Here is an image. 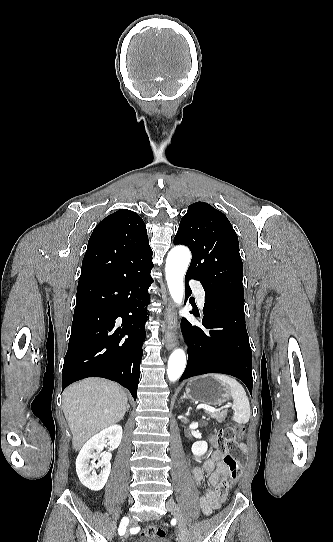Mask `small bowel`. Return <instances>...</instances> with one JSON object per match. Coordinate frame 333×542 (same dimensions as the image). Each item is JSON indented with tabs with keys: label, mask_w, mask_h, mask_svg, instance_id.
I'll return each instance as SVG.
<instances>
[{
	"label": "small bowel",
	"mask_w": 333,
	"mask_h": 542,
	"mask_svg": "<svg viewBox=\"0 0 333 542\" xmlns=\"http://www.w3.org/2000/svg\"><path fill=\"white\" fill-rule=\"evenodd\" d=\"M208 440L212 448L210 456L203 461L202 467L192 469L193 479L199 487L204 480V475L209 476L207 489L199 500L200 508L205 515H210L214 510L219 509L225 501L227 494L220 491V486L229 475V468L225 463L228 453L219 449L215 435H210ZM238 450L245 454L247 447L240 444ZM134 533H136V529L132 528L129 534Z\"/></svg>",
	"instance_id": "1"
}]
</instances>
